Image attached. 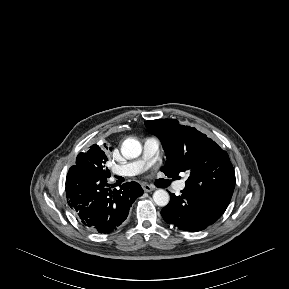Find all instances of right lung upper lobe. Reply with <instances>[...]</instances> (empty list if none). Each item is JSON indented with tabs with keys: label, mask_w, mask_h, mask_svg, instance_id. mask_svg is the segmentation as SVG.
<instances>
[{
	"label": "right lung upper lobe",
	"mask_w": 289,
	"mask_h": 289,
	"mask_svg": "<svg viewBox=\"0 0 289 289\" xmlns=\"http://www.w3.org/2000/svg\"><path fill=\"white\" fill-rule=\"evenodd\" d=\"M97 147H98L97 144L92 145V146L90 147L88 153L91 152V151H93V150H95ZM104 147L108 150V147L106 146V144H104ZM104 150H105V149H104ZM82 154H86V153H80L79 156L82 155ZM73 168H74V167H73Z\"/></svg>",
	"instance_id": "cb5924a9"
}]
</instances>
